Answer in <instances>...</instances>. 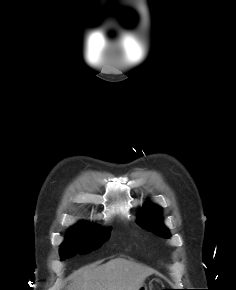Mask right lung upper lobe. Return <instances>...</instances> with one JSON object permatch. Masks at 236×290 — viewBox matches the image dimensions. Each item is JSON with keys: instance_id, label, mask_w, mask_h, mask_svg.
<instances>
[{"instance_id": "1", "label": "right lung upper lobe", "mask_w": 236, "mask_h": 290, "mask_svg": "<svg viewBox=\"0 0 236 290\" xmlns=\"http://www.w3.org/2000/svg\"><path fill=\"white\" fill-rule=\"evenodd\" d=\"M78 225H86V223H79Z\"/></svg>"}]
</instances>
